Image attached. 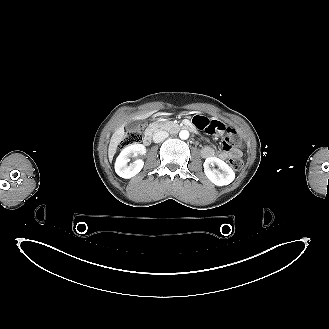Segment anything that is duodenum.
Returning <instances> with one entry per match:
<instances>
[{
    "label": "duodenum",
    "mask_w": 329,
    "mask_h": 329,
    "mask_svg": "<svg viewBox=\"0 0 329 329\" xmlns=\"http://www.w3.org/2000/svg\"><path fill=\"white\" fill-rule=\"evenodd\" d=\"M181 128L182 129H190V127L188 125H182ZM151 141H152V132L151 131H148L145 134L144 138H143V143L145 145H149L151 143Z\"/></svg>",
    "instance_id": "duodenum-1"
}]
</instances>
